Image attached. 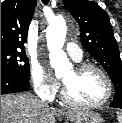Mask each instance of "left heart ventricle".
<instances>
[{"instance_id":"1","label":"left heart ventricle","mask_w":122,"mask_h":123,"mask_svg":"<svg viewBox=\"0 0 122 123\" xmlns=\"http://www.w3.org/2000/svg\"><path fill=\"white\" fill-rule=\"evenodd\" d=\"M62 80L68 86L71 94L80 101L95 103L107 95L106 81L95 70H87L79 74L73 69L64 75Z\"/></svg>"}]
</instances>
